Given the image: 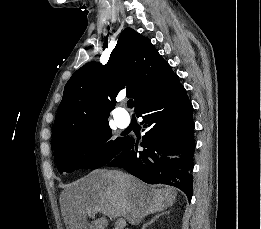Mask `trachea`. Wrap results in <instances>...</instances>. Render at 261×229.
Wrapping results in <instances>:
<instances>
[{
	"instance_id": "1",
	"label": "trachea",
	"mask_w": 261,
	"mask_h": 229,
	"mask_svg": "<svg viewBox=\"0 0 261 229\" xmlns=\"http://www.w3.org/2000/svg\"><path fill=\"white\" fill-rule=\"evenodd\" d=\"M127 106H128L130 109L133 108V106H134L133 99H130V100L127 101Z\"/></svg>"
}]
</instances>
